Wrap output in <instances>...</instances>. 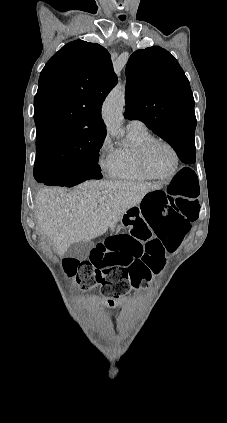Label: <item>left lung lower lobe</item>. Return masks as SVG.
I'll use <instances>...</instances> for the list:
<instances>
[{
  "label": "left lung lower lobe",
  "mask_w": 227,
  "mask_h": 423,
  "mask_svg": "<svg viewBox=\"0 0 227 423\" xmlns=\"http://www.w3.org/2000/svg\"><path fill=\"white\" fill-rule=\"evenodd\" d=\"M171 146L182 162L187 164L195 163L196 154L194 139L182 138L176 140Z\"/></svg>",
  "instance_id": "0a47b994"
}]
</instances>
